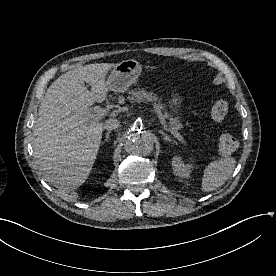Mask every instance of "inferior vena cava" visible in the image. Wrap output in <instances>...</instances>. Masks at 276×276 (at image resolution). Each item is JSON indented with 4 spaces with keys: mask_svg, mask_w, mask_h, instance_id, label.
Instances as JSON below:
<instances>
[{
    "mask_svg": "<svg viewBox=\"0 0 276 276\" xmlns=\"http://www.w3.org/2000/svg\"><path fill=\"white\" fill-rule=\"evenodd\" d=\"M120 126V122L117 119H109L105 121L103 125V129L111 131L113 129H117Z\"/></svg>",
    "mask_w": 276,
    "mask_h": 276,
    "instance_id": "obj_1",
    "label": "inferior vena cava"
}]
</instances>
